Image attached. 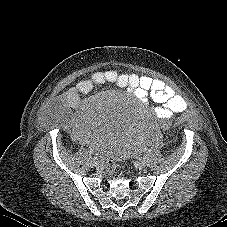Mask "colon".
Wrapping results in <instances>:
<instances>
[{
	"label": "colon",
	"mask_w": 227,
	"mask_h": 227,
	"mask_svg": "<svg viewBox=\"0 0 227 227\" xmlns=\"http://www.w3.org/2000/svg\"><path fill=\"white\" fill-rule=\"evenodd\" d=\"M162 126L165 130L170 131V130H174L176 132H179L183 129L184 124L183 121L180 117L175 116L172 119L167 118L163 121ZM107 167L109 169H113L114 168V162L112 160H108L107 161Z\"/></svg>",
	"instance_id": "5ec220e1"
}]
</instances>
